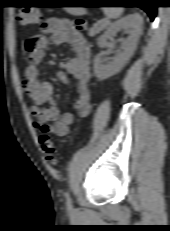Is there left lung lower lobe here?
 <instances>
[{
    "label": "left lung lower lobe",
    "mask_w": 170,
    "mask_h": 231,
    "mask_svg": "<svg viewBox=\"0 0 170 231\" xmlns=\"http://www.w3.org/2000/svg\"><path fill=\"white\" fill-rule=\"evenodd\" d=\"M115 3H119V2H115ZM133 3L138 4L139 6L137 7L142 8L148 14L151 21L154 20L156 16V10H155L156 6L154 5L153 0H134Z\"/></svg>",
    "instance_id": "0a47b994"
}]
</instances>
